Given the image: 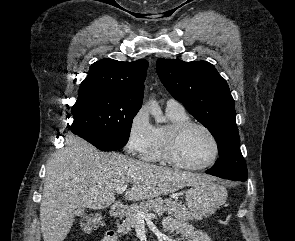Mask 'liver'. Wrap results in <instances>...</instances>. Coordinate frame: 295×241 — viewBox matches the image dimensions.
Instances as JSON below:
<instances>
[{"label":"liver","mask_w":295,"mask_h":241,"mask_svg":"<svg viewBox=\"0 0 295 241\" xmlns=\"http://www.w3.org/2000/svg\"><path fill=\"white\" fill-rule=\"evenodd\" d=\"M208 179L122 154L102 153L85 140L69 135L65 146L51 156L46 167L40 205L43 240L63 241L73 225L76 210L110 206L118 186L132 183L126 199L139 201Z\"/></svg>","instance_id":"6515ba94"}]
</instances>
